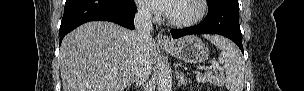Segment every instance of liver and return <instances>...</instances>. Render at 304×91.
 Segmentation results:
<instances>
[{"mask_svg":"<svg viewBox=\"0 0 304 91\" xmlns=\"http://www.w3.org/2000/svg\"><path fill=\"white\" fill-rule=\"evenodd\" d=\"M59 57L64 91H124L134 77L136 43L122 26L88 22L64 37ZM148 58L157 62L154 40Z\"/></svg>","mask_w":304,"mask_h":91,"instance_id":"6515ba94","label":"liver"}]
</instances>
